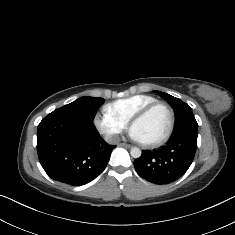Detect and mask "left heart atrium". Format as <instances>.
I'll return each mask as SVG.
<instances>
[{
	"mask_svg": "<svg viewBox=\"0 0 235 235\" xmlns=\"http://www.w3.org/2000/svg\"><path fill=\"white\" fill-rule=\"evenodd\" d=\"M129 137L135 142H141L140 136L133 127L129 131Z\"/></svg>",
	"mask_w": 235,
	"mask_h": 235,
	"instance_id": "39dd6f15",
	"label": "left heart atrium"
}]
</instances>
